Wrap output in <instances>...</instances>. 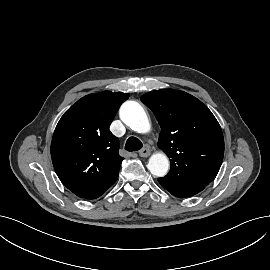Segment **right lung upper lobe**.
Masks as SVG:
<instances>
[{
    "label": "right lung upper lobe",
    "mask_w": 270,
    "mask_h": 270,
    "mask_svg": "<svg viewBox=\"0 0 270 270\" xmlns=\"http://www.w3.org/2000/svg\"><path fill=\"white\" fill-rule=\"evenodd\" d=\"M128 97L110 91L89 94L59 120L51 143L52 162L61 182L77 196L99 194L117 180L124 158L109 126Z\"/></svg>",
    "instance_id": "right-lung-upper-lobe-1"
}]
</instances>
